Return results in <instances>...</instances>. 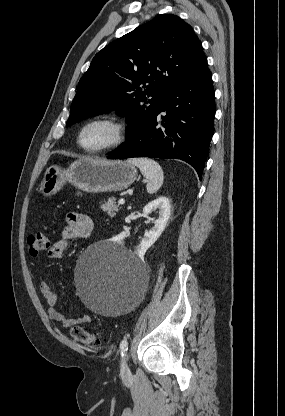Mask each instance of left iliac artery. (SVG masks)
Segmentation results:
<instances>
[{
  "label": "left iliac artery",
  "mask_w": 285,
  "mask_h": 416,
  "mask_svg": "<svg viewBox=\"0 0 285 416\" xmlns=\"http://www.w3.org/2000/svg\"><path fill=\"white\" fill-rule=\"evenodd\" d=\"M128 350V342L127 339H123L120 343V352L121 355L124 356V354L126 353V351Z\"/></svg>",
  "instance_id": "left-iliac-artery-1"
}]
</instances>
